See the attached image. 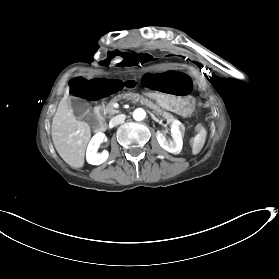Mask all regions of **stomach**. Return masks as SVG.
<instances>
[{"instance_id":"1","label":"stomach","mask_w":279,"mask_h":279,"mask_svg":"<svg viewBox=\"0 0 279 279\" xmlns=\"http://www.w3.org/2000/svg\"><path fill=\"white\" fill-rule=\"evenodd\" d=\"M150 98H153L155 105L161 106L167 110L171 109L172 112L186 117L191 116L196 107L195 102L189 96L178 99L175 96L164 97L162 94L155 95V93H150Z\"/></svg>"}]
</instances>
